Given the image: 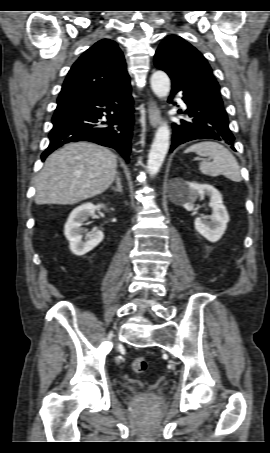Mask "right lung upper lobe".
Listing matches in <instances>:
<instances>
[{
    "mask_svg": "<svg viewBox=\"0 0 270 453\" xmlns=\"http://www.w3.org/2000/svg\"><path fill=\"white\" fill-rule=\"evenodd\" d=\"M130 81L123 53L116 42L102 39L73 64L57 102L98 97Z\"/></svg>",
    "mask_w": 270,
    "mask_h": 453,
    "instance_id": "1",
    "label": "right lung upper lobe"
}]
</instances>
